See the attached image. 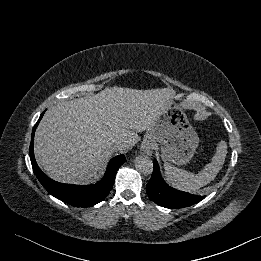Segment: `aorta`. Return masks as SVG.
Segmentation results:
<instances>
[{
    "mask_svg": "<svg viewBox=\"0 0 261 261\" xmlns=\"http://www.w3.org/2000/svg\"><path fill=\"white\" fill-rule=\"evenodd\" d=\"M135 168L143 175H149L153 171V162L147 155H139L135 159Z\"/></svg>",
    "mask_w": 261,
    "mask_h": 261,
    "instance_id": "obj_1",
    "label": "aorta"
}]
</instances>
